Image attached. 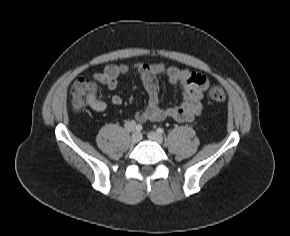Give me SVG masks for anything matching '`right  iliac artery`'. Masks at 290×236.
I'll list each match as a JSON object with an SVG mask.
<instances>
[{
    "instance_id": "obj_1",
    "label": "right iliac artery",
    "mask_w": 290,
    "mask_h": 236,
    "mask_svg": "<svg viewBox=\"0 0 290 236\" xmlns=\"http://www.w3.org/2000/svg\"><path fill=\"white\" fill-rule=\"evenodd\" d=\"M142 129H143L142 125L137 124L135 130L138 131V132H140Z\"/></svg>"
}]
</instances>
